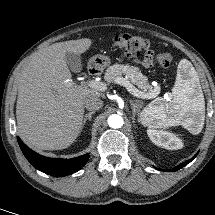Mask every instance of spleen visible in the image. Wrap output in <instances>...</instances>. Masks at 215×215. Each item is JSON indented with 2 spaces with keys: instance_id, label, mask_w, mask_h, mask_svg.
I'll use <instances>...</instances> for the list:
<instances>
[{
  "instance_id": "3e777b00",
  "label": "spleen",
  "mask_w": 215,
  "mask_h": 215,
  "mask_svg": "<svg viewBox=\"0 0 215 215\" xmlns=\"http://www.w3.org/2000/svg\"><path fill=\"white\" fill-rule=\"evenodd\" d=\"M198 75L192 64L182 59L170 101L157 98L148 104L140 118L149 128H167L182 125L192 134H199L205 120V102L197 88Z\"/></svg>"
}]
</instances>
